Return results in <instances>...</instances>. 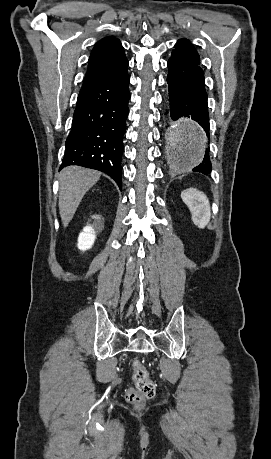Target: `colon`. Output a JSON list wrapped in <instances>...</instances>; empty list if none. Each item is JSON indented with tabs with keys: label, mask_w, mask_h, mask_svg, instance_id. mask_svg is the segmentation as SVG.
Returning a JSON list of instances; mask_svg holds the SVG:
<instances>
[{
	"label": "colon",
	"mask_w": 271,
	"mask_h": 459,
	"mask_svg": "<svg viewBox=\"0 0 271 459\" xmlns=\"http://www.w3.org/2000/svg\"><path fill=\"white\" fill-rule=\"evenodd\" d=\"M132 378L134 386L126 392V399L135 405L143 403L155 394V385L149 377L147 368L139 360L133 361Z\"/></svg>",
	"instance_id": "obj_1"
}]
</instances>
